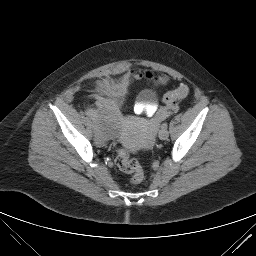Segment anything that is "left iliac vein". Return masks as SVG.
I'll use <instances>...</instances> for the list:
<instances>
[{"mask_svg": "<svg viewBox=\"0 0 256 256\" xmlns=\"http://www.w3.org/2000/svg\"><path fill=\"white\" fill-rule=\"evenodd\" d=\"M158 136L161 140H166L169 136V132L167 128L161 127V129L159 130Z\"/></svg>", "mask_w": 256, "mask_h": 256, "instance_id": "4c4485c4", "label": "left iliac vein"}]
</instances>
